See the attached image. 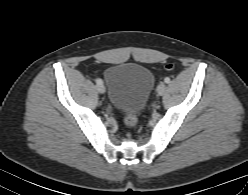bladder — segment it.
Returning a JSON list of instances; mask_svg holds the SVG:
<instances>
[{
  "mask_svg": "<svg viewBox=\"0 0 248 195\" xmlns=\"http://www.w3.org/2000/svg\"><path fill=\"white\" fill-rule=\"evenodd\" d=\"M110 102L125 112L138 113L146 105L154 86V76L136 63H117L104 73Z\"/></svg>",
  "mask_w": 248,
  "mask_h": 195,
  "instance_id": "31cf9c89",
  "label": "bladder"
}]
</instances>
